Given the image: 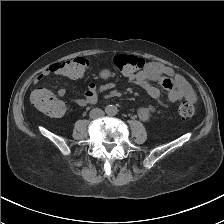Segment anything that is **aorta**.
Listing matches in <instances>:
<instances>
[{"instance_id": "aorta-1", "label": "aorta", "mask_w": 224, "mask_h": 224, "mask_svg": "<svg viewBox=\"0 0 224 224\" xmlns=\"http://www.w3.org/2000/svg\"><path fill=\"white\" fill-rule=\"evenodd\" d=\"M117 112H118V109L115 105H109L106 107V113L108 115L114 116L117 114Z\"/></svg>"}]
</instances>
